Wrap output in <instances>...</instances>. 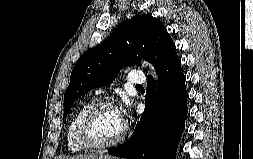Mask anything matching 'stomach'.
I'll list each match as a JSON object with an SVG mask.
<instances>
[{
    "label": "stomach",
    "instance_id": "0dacf381",
    "mask_svg": "<svg viewBox=\"0 0 253 159\" xmlns=\"http://www.w3.org/2000/svg\"><path fill=\"white\" fill-rule=\"evenodd\" d=\"M102 159H118V158H112V157H104V158H102Z\"/></svg>",
    "mask_w": 253,
    "mask_h": 159
}]
</instances>
